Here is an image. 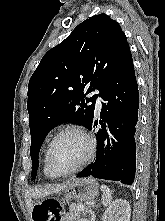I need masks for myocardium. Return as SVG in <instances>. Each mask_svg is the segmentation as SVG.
I'll return each instance as SVG.
<instances>
[{
    "label": "myocardium",
    "mask_w": 165,
    "mask_h": 221,
    "mask_svg": "<svg viewBox=\"0 0 165 221\" xmlns=\"http://www.w3.org/2000/svg\"><path fill=\"white\" fill-rule=\"evenodd\" d=\"M71 132L78 133L84 138V140L86 141V144H87V150H86L84 157L81 159V161L77 165H75L74 167H72L68 170L60 171V170L55 169L51 163V159H50L51 147H52L53 143L60 136L66 134V133H71ZM94 151H95V142L85 128H83L81 126H77V125L66 126L62 129H60L48 142L46 150H45V162L47 164L48 169L55 176L69 175V174L75 173L76 171H78L82 167H84L85 164L92 158Z\"/></svg>",
    "instance_id": "f54148a6"
}]
</instances>
